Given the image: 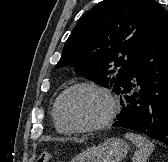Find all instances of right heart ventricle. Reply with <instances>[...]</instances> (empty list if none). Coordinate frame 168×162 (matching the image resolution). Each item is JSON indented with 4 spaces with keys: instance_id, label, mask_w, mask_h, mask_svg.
Here are the masks:
<instances>
[{
    "instance_id": "e07e8e85",
    "label": "right heart ventricle",
    "mask_w": 168,
    "mask_h": 162,
    "mask_svg": "<svg viewBox=\"0 0 168 162\" xmlns=\"http://www.w3.org/2000/svg\"><path fill=\"white\" fill-rule=\"evenodd\" d=\"M53 121H54V126L55 128L57 129V131L59 133H62V134H69V131L64 129L56 120L55 116H54V108H53Z\"/></svg>"
}]
</instances>
